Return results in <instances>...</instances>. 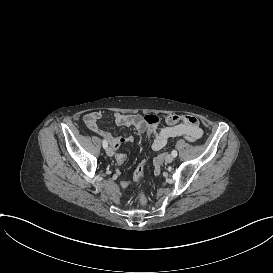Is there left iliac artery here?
<instances>
[{
	"label": "left iliac artery",
	"mask_w": 273,
	"mask_h": 273,
	"mask_svg": "<svg viewBox=\"0 0 273 273\" xmlns=\"http://www.w3.org/2000/svg\"><path fill=\"white\" fill-rule=\"evenodd\" d=\"M171 154H172L173 157H176V156H177V151H176V150H173V151L171 152Z\"/></svg>",
	"instance_id": "44dca946"
}]
</instances>
